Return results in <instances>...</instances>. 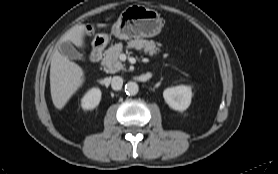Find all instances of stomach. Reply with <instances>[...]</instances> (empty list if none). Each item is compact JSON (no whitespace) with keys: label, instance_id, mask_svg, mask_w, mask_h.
I'll list each match as a JSON object with an SVG mask.
<instances>
[{"label":"stomach","instance_id":"stomach-1","mask_svg":"<svg viewBox=\"0 0 278 174\" xmlns=\"http://www.w3.org/2000/svg\"><path fill=\"white\" fill-rule=\"evenodd\" d=\"M162 25V19L157 11L134 4L122 11L112 26L111 33L123 40L154 37L161 32Z\"/></svg>","mask_w":278,"mask_h":174}]
</instances>
